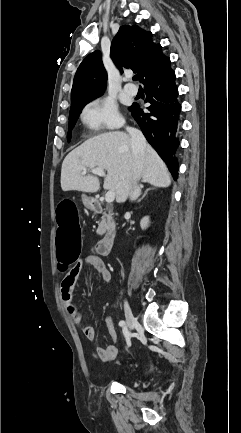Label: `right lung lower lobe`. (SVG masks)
<instances>
[{
    "label": "right lung lower lobe",
    "instance_id": "1",
    "mask_svg": "<svg viewBox=\"0 0 241 433\" xmlns=\"http://www.w3.org/2000/svg\"><path fill=\"white\" fill-rule=\"evenodd\" d=\"M145 102H149L148 113H144L137 103L130 107L135 121L140 126L147 141L164 160L173 177L178 176L176 150L179 146L181 105L177 100L178 89L175 73L167 64L158 74L144 83Z\"/></svg>",
    "mask_w": 241,
    "mask_h": 433
}]
</instances>
